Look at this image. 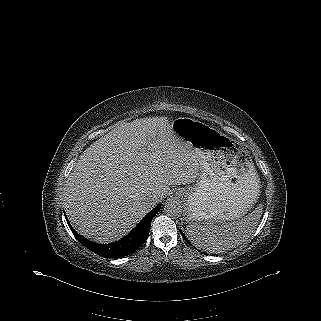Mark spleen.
<instances>
[{
  "label": "spleen",
  "instance_id": "spleen-1",
  "mask_svg": "<svg viewBox=\"0 0 321 321\" xmlns=\"http://www.w3.org/2000/svg\"><path fill=\"white\" fill-rule=\"evenodd\" d=\"M263 212L262 204L245 217L222 226L212 222H190L187 235L199 248L208 253H224L240 246L255 231Z\"/></svg>",
  "mask_w": 321,
  "mask_h": 321
}]
</instances>
